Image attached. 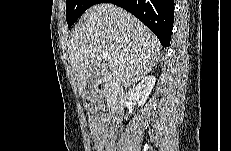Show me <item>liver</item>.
I'll return each instance as SVG.
<instances>
[{
	"label": "liver",
	"mask_w": 231,
	"mask_h": 151,
	"mask_svg": "<svg viewBox=\"0 0 231 151\" xmlns=\"http://www.w3.org/2000/svg\"><path fill=\"white\" fill-rule=\"evenodd\" d=\"M160 50L159 40L143 23L109 3L92 6L75 26L68 44L79 94L97 68L102 80L116 90L134 84L159 62ZM102 51L116 64L102 62Z\"/></svg>",
	"instance_id": "obj_1"
}]
</instances>
